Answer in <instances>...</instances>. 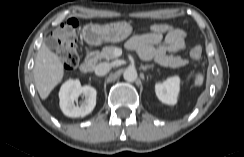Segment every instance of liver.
Wrapping results in <instances>:
<instances>
[{
	"mask_svg": "<svg viewBox=\"0 0 244 157\" xmlns=\"http://www.w3.org/2000/svg\"><path fill=\"white\" fill-rule=\"evenodd\" d=\"M36 89L45 100L64 76L63 63L46 44H42L35 58L33 69Z\"/></svg>",
	"mask_w": 244,
	"mask_h": 157,
	"instance_id": "liver-1",
	"label": "liver"
}]
</instances>
